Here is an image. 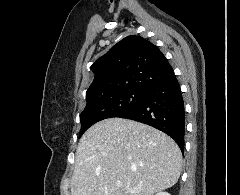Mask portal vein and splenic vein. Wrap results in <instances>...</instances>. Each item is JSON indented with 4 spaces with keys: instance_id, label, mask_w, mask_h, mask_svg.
I'll return each mask as SVG.
<instances>
[{
    "instance_id": "portal-vein-and-splenic-vein-1",
    "label": "portal vein and splenic vein",
    "mask_w": 240,
    "mask_h": 195,
    "mask_svg": "<svg viewBox=\"0 0 240 195\" xmlns=\"http://www.w3.org/2000/svg\"><path fill=\"white\" fill-rule=\"evenodd\" d=\"M116 185H117V187H121V185H122L121 181H116ZM128 191H130V193H136V191H134V189H128Z\"/></svg>"
}]
</instances>
